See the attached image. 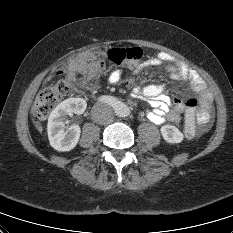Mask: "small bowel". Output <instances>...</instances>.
<instances>
[{"instance_id":"1","label":"small bowel","mask_w":233,"mask_h":233,"mask_svg":"<svg viewBox=\"0 0 233 233\" xmlns=\"http://www.w3.org/2000/svg\"><path fill=\"white\" fill-rule=\"evenodd\" d=\"M166 65L171 72V77L175 80L188 81L192 89L198 93L199 107L196 109L194 125L200 132H205L210 126L212 95L208 90L202 78L187 66L174 63L172 57L160 52L155 57L145 60L135 67V72H139L147 67ZM74 66L78 71H84L86 67V58L79 57L74 61ZM122 70L116 69L109 73L108 83L116 84L121 81ZM135 97L146 98L152 107L147 112L148 119L157 125L165 122H179L183 112H186L185 104L181 99H171L165 94V85H148L145 87L136 86L133 89Z\"/></svg>"}]
</instances>
